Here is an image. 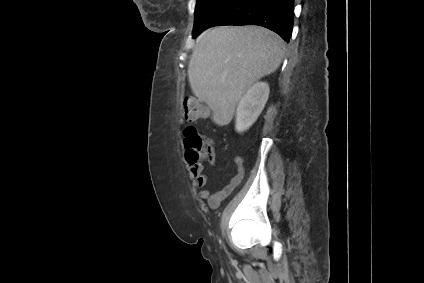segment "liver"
Masks as SVG:
<instances>
[{"instance_id":"liver-1","label":"liver","mask_w":424,"mask_h":283,"mask_svg":"<svg viewBox=\"0 0 424 283\" xmlns=\"http://www.w3.org/2000/svg\"><path fill=\"white\" fill-rule=\"evenodd\" d=\"M284 55V41L261 26H220L202 32L188 64L194 95L212 111L219 126L233 118L251 85L273 73Z\"/></svg>"}]
</instances>
